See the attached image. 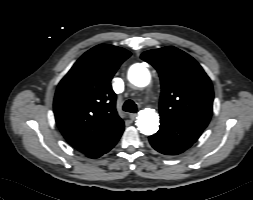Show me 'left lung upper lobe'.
<instances>
[{
	"label": "left lung upper lobe",
	"instance_id": "1",
	"mask_svg": "<svg viewBox=\"0 0 253 200\" xmlns=\"http://www.w3.org/2000/svg\"><path fill=\"white\" fill-rule=\"evenodd\" d=\"M141 58L161 79L160 117L204 130L212 115L213 87L198 62L172 46L146 51Z\"/></svg>",
	"mask_w": 253,
	"mask_h": 200
}]
</instances>
